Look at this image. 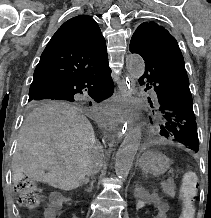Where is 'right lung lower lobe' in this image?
Segmentation results:
<instances>
[{
  "instance_id": "obj_1",
  "label": "right lung lower lobe",
  "mask_w": 211,
  "mask_h": 218,
  "mask_svg": "<svg viewBox=\"0 0 211 218\" xmlns=\"http://www.w3.org/2000/svg\"><path fill=\"white\" fill-rule=\"evenodd\" d=\"M111 69L108 66V61L104 62L84 76L65 81L53 88L44 92L41 96H67L74 97L77 93H83L84 88L88 89V94L91 98L106 99L110 97L114 90V84L110 76Z\"/></svg>"
}]
</instances>
